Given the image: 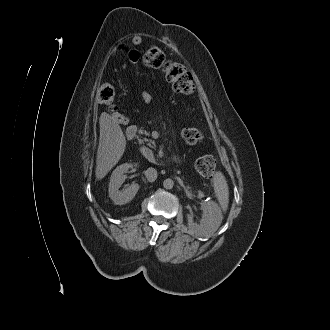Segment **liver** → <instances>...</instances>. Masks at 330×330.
I'll use <instances>...</instances> for the list:
<instances>
[{"label":"liver","instance_id":"6515ba94","mask_svg":"<svg viewBox=\"0 0 330 330\" xmlns=\"http://www.w3.org/2000/svg\"><path fill=\"white\" fill-rule=\"evenodd\" d=\"M100 137L97 150L96 170L97 179L104 178L121 159L126 139L119 124L108 114L103 113L99 119Z\"/></svg>","mask_w":330,"mask_h":330}]
</instances>
